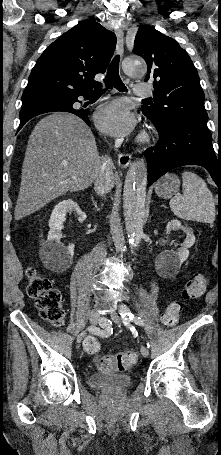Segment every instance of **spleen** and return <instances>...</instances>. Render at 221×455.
Returning <instances> with one entry per match:
<instances>
[{"mask_svg":"<svg viewBox=\"0 0 221 455\" xmlns=\"http://www.w3.org/2000/svg\"><path fill=\"white\" fill-rule=\"evenodd\" d=\"M182 180L183 195H176L169 202L174 215L187 221L214 222L215 203L206 182L190 171L182 173Z\"/></svg>","mask_w":221,"mask_h":455,"instance_id":"spleen-1","label":"spleen"}]
</instances>
